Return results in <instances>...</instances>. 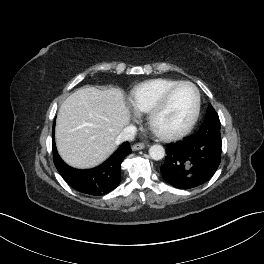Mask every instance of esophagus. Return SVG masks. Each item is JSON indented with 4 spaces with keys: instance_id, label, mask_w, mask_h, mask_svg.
<instances>
[{
    "instance_id": "34e87169",
    "label": "esophagus",
    "mask_w": 264,
    "mask_h": 264,
    "mask_svg": "<svg viewBox=\"0 0 264 264\" xmlns=\"http://www.w3.org/2000/svg\"><path fill=\"white\" fill-rule=\"evenodd\" d=\"M145 148V144L144 143H136L132 146V150L136 151V150H141Z\"/></svg>"
}]
</instances>
